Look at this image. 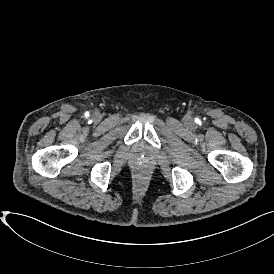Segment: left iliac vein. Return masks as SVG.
Here are the masks:
<instances>
[{
    "label": "left iliac vein",
    "mask_w": 274,
    "mask_h": 274,
    "mask_svg": "<svg viewBox=\"0 0 274 274\" xmlns=\"http://www.w3.org/2000/svg\"><path fill=\"white\" fill-rule=\"evenodd\" d=\"M186 122L187 123H191V118L190 117H186Z\"/></svg>",
    "instance_id": "left-iliac-vein-1"
}]
</instances>
